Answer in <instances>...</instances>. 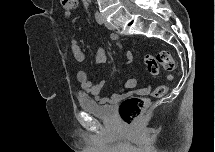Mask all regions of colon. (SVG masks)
Masks as SVG:
<instances>
[{"label": "colon", "mask_w": 215, "mask_h": 152, "mask_svg": "<svg viewBox=\"0 0 215 152\" xmlns=\"http://www.w3.org/2000/svg\"><path fill=\"white\" fill-rule=\"evenodd\" d=\"M63 10L66 15L72 14L77 8L76 0H63L62 1ZM145 64L148 71L156 75L159 72L160 66H162L166 71L172 72L175 70V61L172 55L168 51H160L156 55H147L145 57ZM171 76L168 80H171ZM168 84L164 83L155 88L151 97L161 98L168 92ZM150 102L148 97H136L131 96L125 98L119 105V115L120 118L126 124H133L138 116L145 110Z\"/></svg>", "instance_id": "colon-1"}]
</instances>
